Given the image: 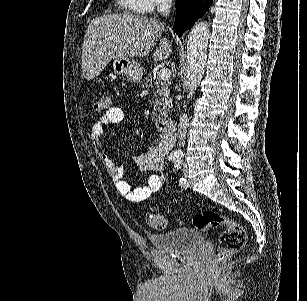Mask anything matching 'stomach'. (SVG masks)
<instances>
[{
	"label": "stomach",
	"mask_w": 307,
	"mask_h": 301,
	"mask_svg": "<svg viewBox=\"0 0 307 301\" xmlns=\"http://www.w3.org/2000/svg\"><path fill=\"white\" fill-rule=\"evenodd\" d=\"M113 70L116 74L124 76L133 84L140 82L143 76V68L140 62L134 60V58H128V56H122V58H114L112 62Z\"/></svg>",
	"instance_id": "obj_1"
}]
</instances>
